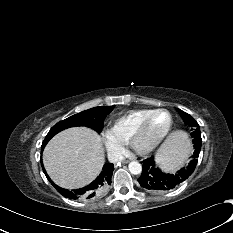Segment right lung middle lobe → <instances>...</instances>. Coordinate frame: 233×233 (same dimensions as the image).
I'll use <instances>...</instances> for the list:
<instances>
[{
	"mask_svg": "<svg viewBox=\"0 0 233 233\" xmlns=\"http://www.w3.org/2000/svg\"><path fill=\"white\" fill-rule=\"evenodd\" d=\"M113 109L114 106L94 107L58 122L50 129L43 141L42 146H45L48 141L58 132L70 127L85 126L100 133L102 131L103 123L106 116Z\"/></svg>",
	"mask_w": 233,
	"mask_h": 233,
	"instance_id": "1",
	"label": "right lung middle lobe"
}]
</instances>
